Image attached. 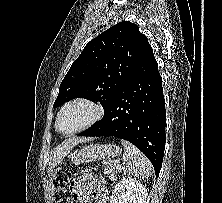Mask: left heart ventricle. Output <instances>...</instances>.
I'll use <instances>...</instances> for the list:
<instances>
[{"instance_id": "b2bd125f", "label": "left heart ventricle", "mask_w": 222, "mask_h": 203, "mask_svg": "<svg viewBox=\"0 0 222 203\" xmlns=\"http://www.w3.org/2000/svg\"><path fill=\"white\" fill-rule=\"evenodd\" d=\"M93 115L90 107L82 104H76L68 107L59 119V128L61 131H72L86 123Z\"/></svg>"}]
</instances>
